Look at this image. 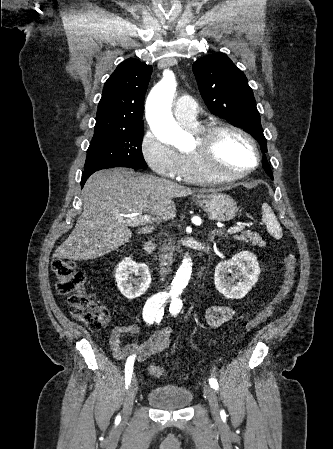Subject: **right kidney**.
Wrapping results in <instances>:
<instances>
[{"instance_id": "1", "label": "right kidney", "mask_w": 333, "mask_h": 449, "mask_svg": "<svg viewBox=\"0 0 333 449\" xmlns=\"http://www.w3.org/2000/svg\"><path fill=\"white\" fill-rule=\"evenodd\" d=\"M131 274H135L138 278H131ZM115 278L121 294L130 300L141 296L151 282L148 266L137 264L131 258H125L118 264Z\"/></svg>"}]
</instances>
